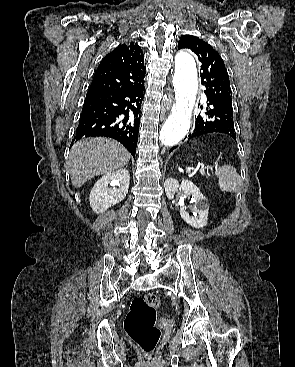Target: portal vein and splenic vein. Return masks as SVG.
Wrapping results in <instances>:
<instances>
[{"mask_svg": "<svg viewBox=\"0 0 295 367\" xmlns=\"http://www.w3.org/2000/svg\"><path fill=\"white\" fill-rule=\"evenodd\" d=\"M197 170H199V172L201 173V175L206 176V178H208V179H209V175H207V174L205 173L204 168L195 169V170H194V172H196Z\"/></svg>", "mask_w": 295, "mask_h": 367, "instance_id": "1", "label": "portal vein and splenic vein"}]
</instances>
